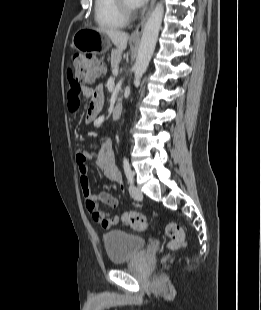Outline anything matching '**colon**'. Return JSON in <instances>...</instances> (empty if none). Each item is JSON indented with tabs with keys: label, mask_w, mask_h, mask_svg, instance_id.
I'll list each match as a JSON object with an SVG mask.
<instances>
[{
	"label": "colon",
	"mask_w": 261,
	"mask_h": 310,
	"mask_svg": "<svg viewBox=\"0 0 261 310\" xmlns=\"http://www.w3.org/2000/svg\"><path fill=\"white\" fill-rule=\"evenodd\" d=\"M75 67L76 84L91 83L96 77L102 74L103 64L94 57L87 54H77L73 58ZM121 221L135 229L145 230L154 220L149 219L143 214L127 211L121 216ZM164 234L169 239L168 248L171 251H177L185 245V235L182 227L175 222H169L164 225Z\"/></svg>",
	"instance_id": "colon-1"
}]
</instances>
